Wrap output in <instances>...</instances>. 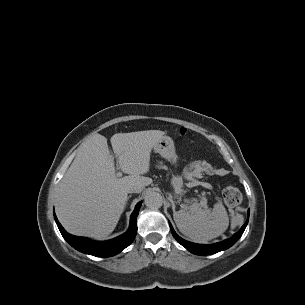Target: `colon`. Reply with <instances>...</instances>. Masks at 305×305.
Instances as JSON below:
<instances>
[{"instance_id": "colon-1", "label": "colon", "mask_w": 305, "mask_h": 305, "mask_svg": "<svg viewBox=\"0 0 305 305\" xmlns=\"http://www.w3.org/2000/svg\"><path fill=\"white\" fill-rule=\"evenodd\" d=\"M187 130L181 128L179 133L180 135H185ZM223 200L229 207H236L241 203L242 196L240 191L234 186H226L222 192Z\"/></svg>"}]
</instances>
